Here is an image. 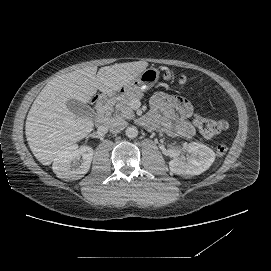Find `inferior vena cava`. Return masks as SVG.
Masks as SVG:
<instances>
[{
  "label": "inferior vena cava",
  "mask_w": 271,
  "mask_h": 271,
  "mask_svg": "<svg viewBox=\"0 0 271 271\" xmlns=\"http://www.w3.org/2000/svg\"><path fill=\"white\" fill-rule=\"evenodd\" d=\"M107 126L111 132L120 133L126 127V121L120 118H113L108 122Z\"/></svg>",
  "instance_id": "obj_1"
}]
</instances>
